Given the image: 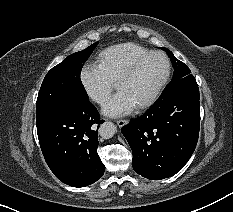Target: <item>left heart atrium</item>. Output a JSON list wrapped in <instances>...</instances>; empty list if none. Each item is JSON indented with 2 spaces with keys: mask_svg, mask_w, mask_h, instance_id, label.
Listing matches in <instances>:
<instances>
[{
  "mask_svg": "<svg viewBox=\"0 0 233 212\" xmlns=\"http://www.w3.org/2000/svg\"><path fill=\"white\" fill-rule=\"evenodd\" d=\"M134 104L129 97L122 91H119L105 106L104 113L109 116H122L130 113Z\"/></svg>",
  "mask_w": 233,
  "mask_h": 212,
  "instance_id": "1",
  "label": "left heart atrium"
}]
</instances>
